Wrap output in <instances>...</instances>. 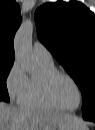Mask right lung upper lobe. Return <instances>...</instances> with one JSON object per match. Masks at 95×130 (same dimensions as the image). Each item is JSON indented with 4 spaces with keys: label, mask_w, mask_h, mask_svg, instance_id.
<instances>
[{
    "label": "right lung upper lobe",
    "mask_w": 95,
    "mask_h": 130,
    "mask_svg": "<svg viewBox=\"0 0 95 130\" xmlns=\"http://www.w3.org/2000/svg\"><path fill=\"white\" fill-rule=\"evenodd\" d=\"M21 23L18 4L14 0H0V63L14 62V36Z\"/></svg>",
    "instance_id": "right-lung-upper-lobe-1"
}]
</instances>
